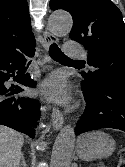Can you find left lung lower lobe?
<instances>
[{"mask_svg": "<svg viewBox=\"0 0 125 167\" xmlns=\"http://www.w3.org/2000/svg\"><path fill=\"white\" fill-rule=\"evenodd\" d=\"M83 91L86 112L76 125V135L101 128L125 131V81L104 80L92 91Z\"/></svg>", "mask_w": 125, "mask_h": 167, "instance_id": "1", "label": "left lung lower lobe"}]
</instances>
